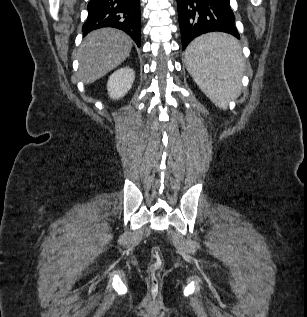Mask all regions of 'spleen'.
<instances>
[{"mask_svg":"<svg viewBox=\"0 0 307 317\" xmlns=\"http://www.w3.org/2000/svg\"><path fill=\"white\" fill-rule=\"evenodd\" d=\"M185 58L194 81L219 108L226 109L240 94L242 55L234 37L221 33L198 37L188 46Z\"/></svg>","mask_w":307,"mask_h":317,"instance_id":"1","label":"spleen"}]
</instances>
